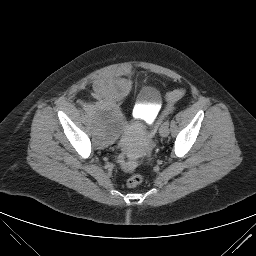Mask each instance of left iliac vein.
Wrapping results in <instances>:
<instances>
[{
	"label": "left iliac vein",
	"instance_id": "left-iliac-vein-1",
	"mask_svg": "<svg viewBox=\"0 0 256 256\" xmlns=\"http://www.w3.org/2000/svg\"><path fill=\"white\" fill-rule=\"evenodd\" d=\"M159 133L162 137H167L169 135V124L164 122L159 129Z\"/></svg>",
	"mask_w": 256,
	"mask_h": 256
}]
</instances>
